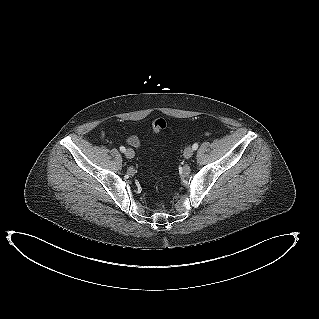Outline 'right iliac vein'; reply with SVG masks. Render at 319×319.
Wrapping results in <instances>:
<instances>
[{
	"label": "right iliac vein",
	"mask_w": 319,
	"mask_h": 319,
	"mask_svg": "<svg viewBox=\"0 0 319 319\" xmlns=\"http://www.w3.org/2000/svg\"><path fill=\"white\" fill-rule=\"evenodd\" d=\"M125 156L129 159H132L134 158L135 156V152L133 151V149L131 148H128L126 151H125Z\"/></svg>",
	"instance_id": "1"
}]
</instances>
